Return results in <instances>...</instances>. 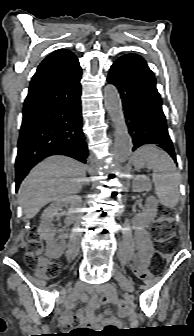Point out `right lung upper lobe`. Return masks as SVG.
I'll list each match as a JSON object with an SVG mask.
<instances>
[{
  "label": "right lung upper lobe",
  "instance_id": "right-lung-upper-lobe-1",
  "mask_svg": "<svg viewBox=\"0 0 194 336\" xmlns=\"http://www.w3.org/2000/svg\"><path fill=\"white\" fill-rule=\"evenodd\" d=\"M78 62L76 56L69 50L60 49L46 57L39 65L31 83L52 77Z\"/></svg>",
  "mask_w": 194,
  "mask_h": 336
}]
</instances>
